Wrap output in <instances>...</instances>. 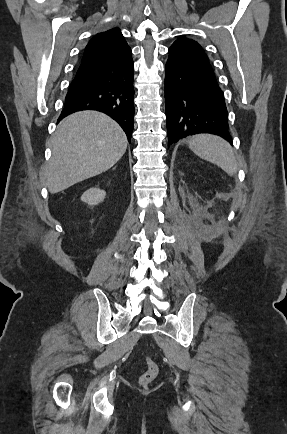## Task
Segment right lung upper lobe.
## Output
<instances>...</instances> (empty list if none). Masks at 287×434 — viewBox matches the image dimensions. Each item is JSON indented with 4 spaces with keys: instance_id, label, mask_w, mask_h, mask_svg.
<instances>
[{
    "instance_id": "obj_1",
    "label": "right lung upper lobe",
    "mask_w": 287,
    "mask_h": 434,
    "mask_svg": "<svg viewBox=\"0 0 287 434\" xmlns=\"http://www.w3.org/2000/svg\"><path fill=\"white\" fill-rule=\"evenodd\" d=\"M131 54L120 29L96 34L85 47L80 67L109 62Z\"/></svg>"
}]
</instances>
